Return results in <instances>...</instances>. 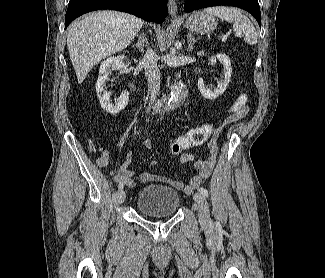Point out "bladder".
Instances as JSON below:
<instances>
[{"mask_svg": "<svg viewBox=\"0 0 325 278\" xmlns=\"http://www.w3.org/2000/svg\"><path fill=\"white\" fill-rule=\"evenodd\" d=\"M180 202L179 193L172 187L149 184L138 192L136 208L147 216H170L177 213Z\"/></svg>", "mask_w": 325, "mask_h": 278, "instance_id": "bladder-1", "label": "bladder"}]
</instances>
